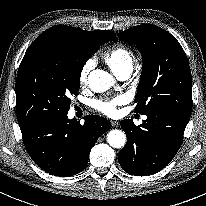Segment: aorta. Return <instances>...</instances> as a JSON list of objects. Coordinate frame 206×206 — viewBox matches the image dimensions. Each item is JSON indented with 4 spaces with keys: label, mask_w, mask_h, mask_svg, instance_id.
<instances>
[{
    "label": "aorta",
    "mask_w": 206,
    "mask_h": 206,
    "mask_svg": "<svg viewBox=\"0 0 206 206\" xmlns=\"http://www.w3.org/2000/svg\"><path fill=\"white\" fill-rule=\"evenodd\" d=\"M88 83L93 92H105L114 84V78L106 71L96 69L90 72ZM107 142L113 148H122L126 143V135L121 130H111L107 134Z\"/></svg>",
    "instance_id": "obj_1"
}]
</instances>
